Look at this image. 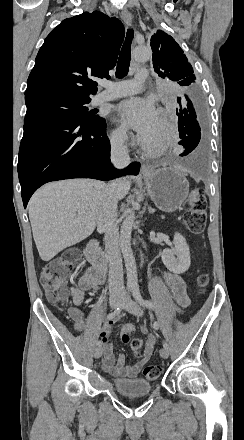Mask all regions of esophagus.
<instances>
[{
    "label": "esophagus",
    "instance_id": "obj_1",
    "mask_svg": "<svg viewBox=\"0 0 244 440\" xmlns=\"http://www.w3.org/2000/svg\"><path fill=\"white\" fill-rule=\"evenodd\" d=\"M121 17L123 18L126 25H131L132 16H131V13L129 12V10L124 8L121 12ZM151 168H152V165L150 163H144L141 167V172L143 174L148 173Z\"/></svg>",
    "mask_w": 244,
    "mask_h": 440
}]
</instances>
